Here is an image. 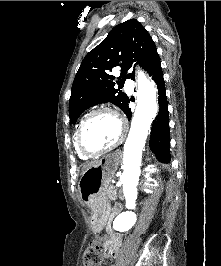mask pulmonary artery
<instances>
[{
	"instance_id": "1",
	"label": "pulmonary artery",
	"mask_w": 221,
	"mask_h": 266,
	"mask_svg": "<svg viewBox=\"0 0 221 266\" xmlns=\"http://www.w3.org/2000/svg\"><path fill=\"white\" fill-rule=\"evenodd\" d=\"M127 89H128L129 91H131V90H132V85H131V84H128V85H127Z\"/></svg>"
}]
</instances>
